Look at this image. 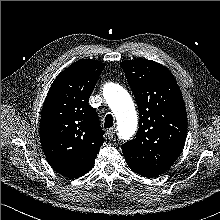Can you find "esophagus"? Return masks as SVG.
<instances>
[{
  "label": "esophagus",
  "mask_w": 220,
  "mask_h": 220,
  "mask_svg": "<svg viewBox=\"0 0 220 220\" xmlns=\"http://www.w3.org/2000/svg\"><path fill=\"white\" fill-rule=\"evenodd\" d=\"M116 128H110L108 131H107V137L109 138V139H112L114 136H115V134H116Z\"/></svg>",
  "instance_id": "esophagus-1"
}]
</instances>
